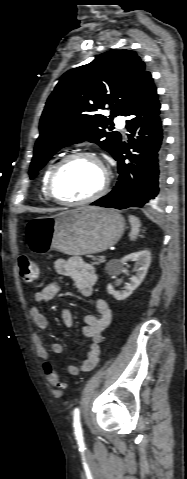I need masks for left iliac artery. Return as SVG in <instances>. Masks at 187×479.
Masks as SVG:
<instances>
[{
    "label": "left iliac artery",
    "instance_id": "left-iliac-artery-1",
    "mask_svg": "<svg viewBox=\"0 0 187 479\" xmlns=\"http://www.w3.org/2000/svg\"><path fill=\"white\" fill-rule=\"evenodd\" d=\"M73 426L77 440L82 441V428L80 423V412L78 408L73 411Z\"/></svg>",
    "mask_w": 187,
    "mask_h": 479
}]
</instances>
